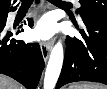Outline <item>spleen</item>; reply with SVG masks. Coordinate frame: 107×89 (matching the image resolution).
Masks as SVG:
<instances>
[{
	"label": "spleen",
	"mask_w": 107,
	"mask_h": 89,
	"mask_svg": "<svg viewBox=\"0 0 107 89\" xmlns=\"http://www.w3.org/2000/svg\"><path fill=\"white\" fill-rule=\"evenodd\" d=\"M69 89H105L101 85H91V84H72Z\"/></svg>",
	"instance_id": "3e777b00"
}]
</instances>
